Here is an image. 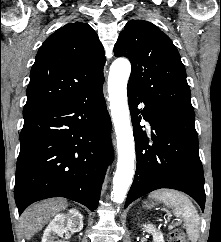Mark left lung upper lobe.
I'll return each mask as SVG.
<instances>
[{
    "mask_svg": "<svg viewBox=\"0 0 221 242\" xmlns=\"http://www.w3.org/2000/svg\"><path fill=\"white\" fill-rule=\"evenodd\" d=\"M114 55L129 58L128 88L145 102L195 120L184 65L171 39L159 28L144 20H130L119 35Z\"/></svg>",
    "mask_w": 221,
    "mask_h": 242,
    "instance_id": "obj_1",
    "label": "left lung upper lobe"
}]
</instances>
